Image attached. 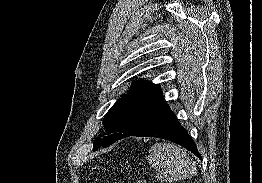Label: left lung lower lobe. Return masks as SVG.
I'll use <instances>...</instances> for the list:
<instances>
[{
  "mask_svg": "<svg viewBox=\"0 0 262 183\" xmlns=\"http://www.w3.org/2000/svg\"><path fill=\"white\" fill-rule=\"evenodd\" d=\"M129 136L166 139L183 146L202 160L194 141L186 129L181 126L178 120H176L175 114L166 103H163L153 113L142 128Z\"/></svg>",
  "mask_w": 262,
  "mask_h": 183,
  "instance_id": "obj_1",
  "label": "left lung lower lobe"
}]
</instances>
